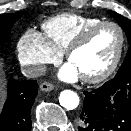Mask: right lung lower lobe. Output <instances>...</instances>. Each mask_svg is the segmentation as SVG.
Masks as SVG:
<instances>
[{
    "label": "right lung lower lobe",
    "instance_id": "1",
    "mask_svg": "<svg viewBox=\"0 0 131 131\" xmlns=\"http://www.w3.org/2000/svg\"><path fill=\"white\" fill-rule=\"evenodd\" d=\"M37 90L36 80L8 83V98L0 114V131H31L30 110Z\"/></svg>",
    "mask_w": 131,
    "mask_h": 131
}]
</instances>
